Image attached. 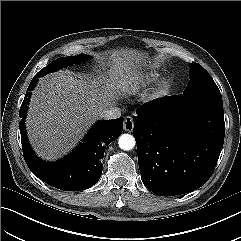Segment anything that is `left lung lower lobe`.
Segmentation results:
<instances>
[{
	"label": "left lung lower lobe",
	"mask_w": 241,
	"mask_h": 241,
	"mask_svg": "<svg viewBox=\"0 0 241 241\" xmlns=\"http://www.w3.org/2000/svg\"><path fill=\"white\" fill-rule=\"evenodd\" d=\"M143 183L160 196L191 192L212 175L225 136L221 95L166 96L143 104L134 116Z\"/></svg>",
	"instance_id": "0a47b994"
}]
</instances>
